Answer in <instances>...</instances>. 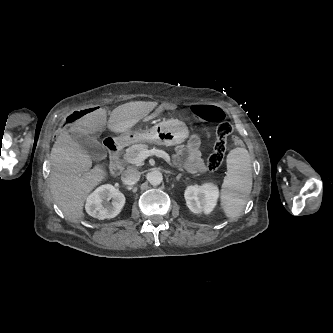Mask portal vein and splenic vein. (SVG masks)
<instances>
[{
  "instance_id": "1",
  "label": "portal vein and splenic vein",
  "mask_w": 333,
  "mask_h": 333,
  "mask_svg": "<svg viewBox=\"0 0 333 333\" xmlns=\"http://www.w3.org/2000/svg\"><path fill=\"white\" fill-rule=\"evenodd\" d=\"M152 155H156L158 157H161L163 159H165L166 161H170V156L163 150H159V149H151V150H142L137 158H135L133 160V162H131L132 164L133 163H141L142 161H144L146 158H148L149 156H152Z\"/></svg>"
}]
</instances>
